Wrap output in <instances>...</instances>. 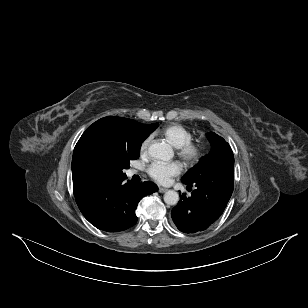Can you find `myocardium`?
<instances>
[{"mask_svg": "<svg viewBox=\"0 0 308 308\" xmlns=\"http://www.w3.org/2000/svg\"><path fill=\"white\" fill-rule=\"evenodd\" d=\"M205 152V145L199 139H191L181 147L177 148L178 156L189 166L200 162Z\"/></svg>", "mask_w": 308, "mask_h": 308, "instance_id": "myocardium-1", "label": "myocardium"}]
</instances>
